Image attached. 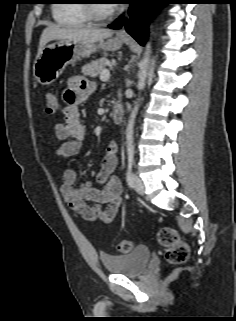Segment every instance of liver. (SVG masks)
I'll return each mask as SVG.
<instances>
[{"mask_svg": "<svg viewBox=\"0 0 236 321\" xmlns=\"http://www.w3.org/2000/svg\"><path fill=\"white\" fill-rule=\"evenodd\" d=\"M112 35L113 31L109 29H92L86 27L60 28L51 24L42 32L38 52H40L48 42L53 40L96 43Z\"/></svg>", "mask_w": 236, "mask_h": 321, "instance_id": "obj_1", "label": "liver"}]
</instances>
